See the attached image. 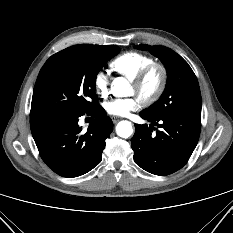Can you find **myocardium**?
I'll use <instances>...</instances> for the list:
<instances>
[{"instance_id": "obj_1", "label": "myocardium", "mask_w": 233, "mask_h": 233, "mask_svg": "<svg viewBox=\"0 0 233 233\" xmlns=\"http://www.w3.org/2000/svg\"><path fill=\"white\" fill-rule=\"evenodd\" d=\"M159 71L160 81L156 90L149 96H141L140 100L143 105L148 106L155 103L165 91L168 82V70L162 62H152L141 69L132 79V84L140 90L146 79L153 71Z\"/></svg>"}]
</instances>
